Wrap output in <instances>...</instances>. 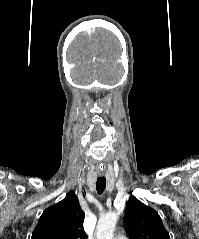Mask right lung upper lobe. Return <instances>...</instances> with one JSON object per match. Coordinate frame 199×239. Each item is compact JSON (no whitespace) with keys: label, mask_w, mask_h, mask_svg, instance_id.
<instances>
[{"label":"right lung upper lobe","mask_w":199,"mask_h":239,"mask_svg":"<svg viewBox=\"0 0 199 239\" xmlns=\"http://www.w3.org/2000/svg\"><path fill=\"white\" fill-rule=\"evenodd\" d=\"M85 214L73 191L41 215L31 239H87L83 229Z\"/></svg>","instance_id":"obj_1"}]
</instances>
